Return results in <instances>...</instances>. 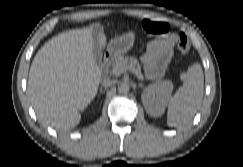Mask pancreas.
<instances>
[{"instance_id":"obj_1","label":"pancreas","mask_w":243,"mask_h":167,"mask_svg":"<svg viewBox=\"0 0 243 167\" xmlns=\"http://www.w3.org/2000/svg\"><path fill=\"white\" fill-rule=\"evenodd\" d=\"M132 65L137 72L142 75L141 73V65L136 57H128V56H123L119 55L116 57L109 65L110 67V73L113 76H118L120 75V67L122 66H128ZM143 76V75H142Z\"/></svg>"}]
</instances>
